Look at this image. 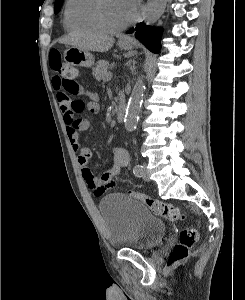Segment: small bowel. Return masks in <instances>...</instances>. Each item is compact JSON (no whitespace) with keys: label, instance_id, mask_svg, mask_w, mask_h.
I'll return each instance as SVG.
<instances>
[{"label":"small bowel","instance_id":"small-bowel-1","mask_svg":"<svg viewBox=\"0 0 245 300\" xmlns=\"http://www.w3.org/2000/svg\"><path fill=\"white\" fill-rule=\"evenodd\" d=\"M53 88L56 92V98L63 114V120L66 125V133L72 145V148L77 156V162L82 169V175L88 187L93 190L96 196H102L109 187L115 184L116 178L122 173L124 167L129 163L130 157L128 151L122 147H112L113 164L101 176L93 173L90 160L91 152L80 141V133L86 131L91 126V120L88 114H97L99 112V104L97 96L87 92L81 85L77 83V88L74 92L68 91L58 77H54ZM89 95L90 101L85 103L81 110H76L73 107V101L69 95ZM86 112L87 114L80 115Z\"/></svg>","mask_w":245,"mask_h":300}]
</instances>
